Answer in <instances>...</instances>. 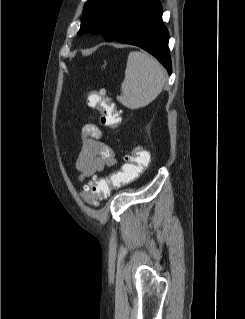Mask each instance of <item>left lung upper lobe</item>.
I'll list each match as a JSON object with an SVG mask.
<instances>
[{"label": "left lung upper lobe", "instance_id": "1", "mask_svg": "<svg viewBox=\"0 0 245 319\" xmlns=\"http://www.w3.org/2000/svg\"><path fill=\"white\" fill-rule=\"evenodd\" d=\"M147 1L88 0L78 34H102L107 41H113L131 14Z\"/></svg>", "mask_w": 245, "mask_h": 319}]
</instances>
